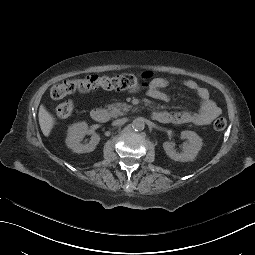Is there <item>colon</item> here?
<instances>
[{"instance_id": "1", "label": "colon", "mask_w": 255, "mask_h": 255, "mask_svg": "<svg viewBox=\"0 0 255 255\" xmlns=\"http://www.w3.org/2000/svg\"><path fill=\"white\" fill-rule=\"evenodd\" d=\"M151 76L150 72H144L141 75L123 73L112 77L89 75L82 79L66 80L54 85L50 90V95L54 99H62L74 92L85 93L100 88L125 90L145 84ZM73 110V102L65 101L57 105L55 112L59 117L66 118L72 114ZM226 126L227 119L222 114L213 123L214 129L217 131L224 130Z\"/></svg>"}]
</instances>
